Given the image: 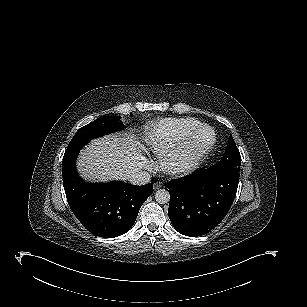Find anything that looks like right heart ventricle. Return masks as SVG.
Masks as SVG:
<instances>
[{"label": "right heart ventricle", "instance_id": "1", "mask_svg": "<svg viewBox=\"0 0 307 307\" xmlns=\"http://www.w3.org/2000/svg\"><path fill=\"white\" fill-rule=\"evenodd\" d=\"M196 122L191 118H167L159 121L149 133L148 143L158 156L168 153L191 137L196 131ZM212 142L208 143V148Z\"/></svg>", "mask_w": 307, "mask_h": 307}]
</instances>
